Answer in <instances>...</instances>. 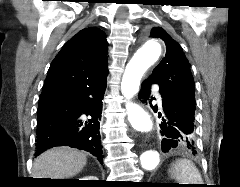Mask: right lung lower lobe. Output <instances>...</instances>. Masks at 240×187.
<instances>
[{
  "mask_svg": "<svg viewBox=\"0 0 240 187\" xmlns=\"http://www.w3.org/2000/svg\"><path fill=\"white\" fill-rule=\"evenodd\" d=\"M106 85V77H103L78 88L41 97L35 155L52 147L70 146L90 152L102 163L99 127Z\"/></svg>",
  "mask_w": 240,
  "mask_h": 187,
  "instance_id": "obj_1",
  "label": "right lung lower lobe"
}]
</instances>
